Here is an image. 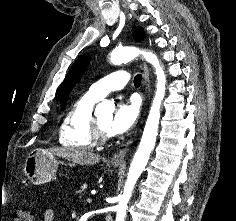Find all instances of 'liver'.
<instances>
[{
	"mask_svg": "<svg viewBox=\"0 0 236 221\" xmlns=\"http://www.w3.org/2000/svg\"><path fill=\"white\" fill-rule=\"evenodd\" d=\"M45 151L81 165H93L101 160L98 154L71 147H54Z\"/></svg>",
	"mask_w": 236,
	"mask_h": 221,
	"instance_id": "obj_1",
	"label": "liver"
}]
</instances>
